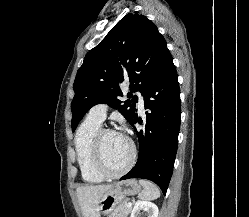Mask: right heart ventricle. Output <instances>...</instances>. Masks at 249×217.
<instances>
[{
  "label": "right heart ventricle",
  "mask_w": 249,
  "mask_h": 217,
  "mask_svg": "<svg viewBox=\"0 0 249 217\" xmlns=\"http://www.w3.org/2000/svg\"><path fill=\"white\" fill-rule=\"evenodd\" d=\"M102 122L87 116L80 124L74 139L77 163L82 179L87 183H101L106 178L94 167L92 156L93 139Z\"/></svg>",
  "instance_id": "1"
}]
</instances>
